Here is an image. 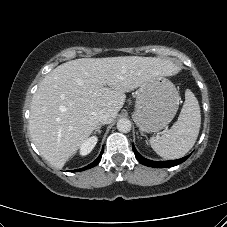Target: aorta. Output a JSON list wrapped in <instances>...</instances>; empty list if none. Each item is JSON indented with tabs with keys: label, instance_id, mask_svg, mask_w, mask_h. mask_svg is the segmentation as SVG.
I'll return each instance as SVG.
<instances>
[{
	"label": "aorta",
	"instance_id": "aorta-1",
	"mask_svg": "<svg viewBox=\"0 0 227 227\" xmlns=\"http://www.w3.org/2000/svg\"><path fill=\"white\" fill-rule=\"evenodd\" d=\"M131 121L127 118H121L117 122V129L122 133H127L131 130Z\"/></svg>",
	"mask_w": 227,
	"mask_h": 227
}]
</instances>
